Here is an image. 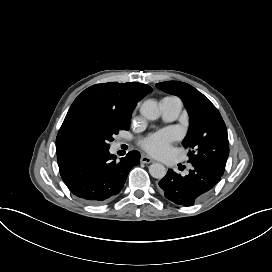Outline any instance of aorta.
Here are the masks:
<instances>
[{"label":"aorta","mask_w":272,"mask_h":272,"mask_svg":"<svg viewBox=\"0 0 272 272\" xmlns=\"http://www.w3.org/2000/svg\"><path fill=\"white\" fill-rule=\"evenodd\" d=\"M140 113L149 120H156L160 117L158 102L154 99L144 101ZM149 173L153 178L162 179L166 175L165 166L161 163H152L149 166Z\"/></svg>","instance_id":"1"}]
</instances>
